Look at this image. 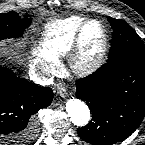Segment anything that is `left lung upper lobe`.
<instances>
[{
  "instance_id": "obj_1",
  "label": "left lung upper lobe",
  "mask_w": 145,
  "mask_h": 145,
  "mask_svg": "<svg viewBox=\"0 0 145 145\" xmlns=\"http://www.w3.org/2000/svg\"><path fill=\"white\" fill-rule=\"evenodd\" d=\"M113 28L111 49L107 62L133 59L145 62V45L137 33L123 20L108 17Z\"/></svg>"
}]
</instances>
